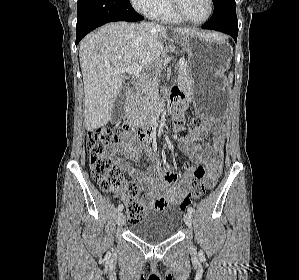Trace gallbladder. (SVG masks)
Returning <instances> with one entry per match:
<instances>
[{
  "mask_svg": "<svg viewBox=\"0 0 299 280\" xmlns=\"http://www.w3.org/2000/svg\"><path fill=\"white\" fill-rule=\"evenodd\" d=\"M125 101V93L121 92L117 96L114 105H113V112H112V121L118 120L122 115V106Z\"/></svg>",
  "mask_w": 299,
  "mask_h": 280,
  "instance_id": "bac80fb5",
  "label": "gallbladder"
}]
</instances>
